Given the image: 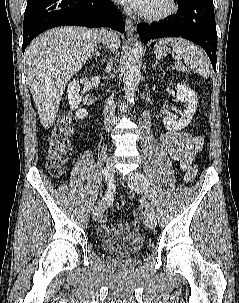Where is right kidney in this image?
Listing matches in <instances>:
<instances>
[{
    "instance_id": "obj_1",
    "label": "right kidney",
    "mask_w": 239,
    "mask_h": 303,
    "mask_svg": "<svg viewBox=\"0 0 239 303\" xmlns=\"http://www.w3.org/2000/svg\"><path fill=\"white\" fill-rule=\"evenodd\" d=\"M80 85L79 82L76 80L71 81L68 84L67 88V96L70 108L72 110H76L75 117L78 119H85L88 116V112L85 109H78V105L80 104L82 98L79 95Z\"/></svg>"
}]
</instances>
